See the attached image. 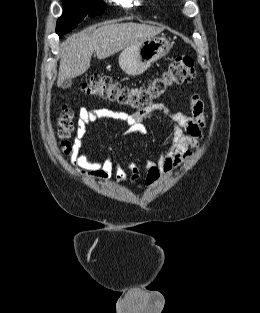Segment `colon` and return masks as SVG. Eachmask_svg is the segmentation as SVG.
Segmentation results:
<instances>
[{
    "label": "colon",
    "instance_id": "obj_1",
    "mask_svg": "<svg viewBox=\"0 0 260 313\" xmlns=\"http://www.w3.org/2000/svg\"><path fill=\"white\" fill-rule=\"evenodd\" d=\"M195 76L193 59L189 56H178L173 58L161 73L144 84L130 86L116 82L109 76H93L82 85V92L87 96L144 111L153 107L170 89L193 81ZM73 129L74 112L63 106L57 119L55 134L61 140L66 155L71 153L67 139Z\"/></svg>",
    "mask_w": 260,
    "mask_h": 313
}]
</instances>
